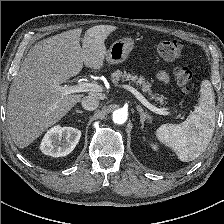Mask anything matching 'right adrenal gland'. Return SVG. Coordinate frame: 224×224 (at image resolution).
<instances>
[{
	"label": "right adrenal gland",
	"instance_id": "1",
	"mask_svg": "<svg viewBox=\"0 0 224 224\" xmlns=\"http://www.w3.org/2000/svg\"><path fill=\"white\" fill-rule=\"evenodd\" d=\"M76 113L83 114L84 112L83 111H80V110H76Z\"/></svg>",
	"mask_w": 224,
	"mask_h": 224
}]
</instances>
